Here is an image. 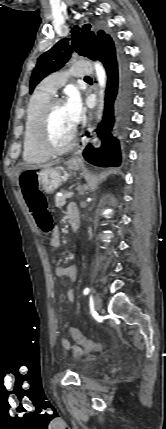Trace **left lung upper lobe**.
<instances>
[{
	"label": "left lung upper lobe",
	"instance_id": "1",
	"mask_svg": "<svg viewBox=\"0 0 166 429\" xmlns=\"http://www.w3.org/2000/svg\"><path fill=\"white\" fill-rule=\"evenodd\" d=\"M98 43L107 45L113 43V39L103 30L92 31L90 24L82 27L75 26L71 31L70 38L62 39L38 58L30 78V92L43 78L64 66L73 52L94 59Z\"/></svg>",
	"mask_w": 166,
	"mask_h": 429
}]
</instances>
